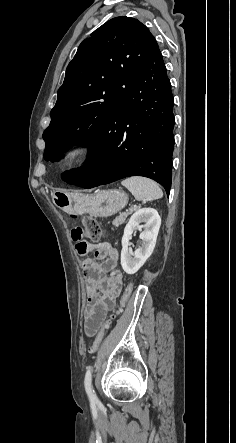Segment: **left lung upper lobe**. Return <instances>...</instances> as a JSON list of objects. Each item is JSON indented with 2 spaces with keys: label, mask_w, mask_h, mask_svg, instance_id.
<instances>
[{
  "label": "left lung upper lobe",
  "mask_w": 236,
  "mask_h": 443,
  "mask_svg": "<svg viewBox=\"0 0 236 443\" xmlns=\"http://www.w3.org/2000/svg\"><path fill=\"white\" fill-rule=\"evenodd\" d=\"M156 46L148 28L126 16L107 21L82 41L43 133L45 160L56 161L72 145L90 143Z\"/></svg>",
  "instance_id": "5c2ea615"
}]
</instances>
